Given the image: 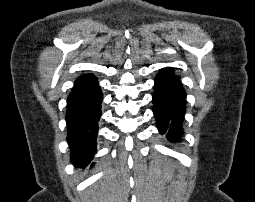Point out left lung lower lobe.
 Returning a JSON list of instances; mask_svg holds the SVG:
<instances>
[{
    "instance_id": "0a47b994",
    "label": "left lung lower lobe",
    "mask_w": 255,
    "mask_h": 202,
    "mask_svg": "<svg viewBox=\"0 0 255 202\" xmlns=\"http://www.w3.org/2000/svg\"><path fill=\"white\" fill-rule=\"evenodd\" d=\"M152 102L160 134L178 142L183 134L181 125L186 107V93L180 80L160 71L155 78Z\"/></svg>"
}]
</instances>
